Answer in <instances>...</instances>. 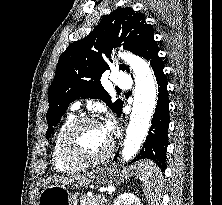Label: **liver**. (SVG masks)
<instances>
[{"label":"liver","mask_w":222,"mask_h":205,"mask_svg":"<svg viewBox=\"0 0 222 205\" xmlns=\"http://www.w3.org/2000/svg\"><path fill=\"white\" fill-rule=\"evenodd\" d=\"M93 179V173L86 175H75V176H61L54 178V181L60 182L64 185H72L76 187H83L88 185Z\"/></svg>","instance_id":"liver-1"}]
</instances>
